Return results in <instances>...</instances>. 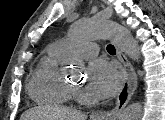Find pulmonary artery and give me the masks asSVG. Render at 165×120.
I'll return each instance as SVG.
<instances>
[{
    "label": "pulmonary artery",
    "instance_id": "obj_1",
    "mask_svg": "<svg viewBox=\"0 0 165 120\" xmlns=\"http://www.w3.org/2000/svg\"><path fill=\"white\" fill-rule=\"evenodd\" d=\"M54 46L65 55L78 54L88 57L97 54L98 47L96 44L87 42H71L67 39H62L54 43Z\"/></svg>",
    "mask_w": 165,
    "mask_h": 120
}]
</instances>
